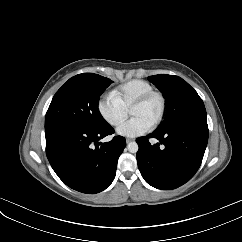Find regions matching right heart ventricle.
I'll list each match as a JSON object with an SVG mask.
<instances>
[{
    "mask_svg": "<svg viewBox=\"0 0 242 242\" xmlns=\"http://www.w3.org/2000/svg\"><path fill=\"white\" fill-rule=\"evenodd\" d=\"M152 90L154 88L149 82L134 79L118 86L112 95L125 109L129 110L135 100Z\"/></svg>",
    "mask_w": 242,
    "mask_h": 242,
    "instance_id": "e07e8e85",
    "label": "right heart ventricle"
}]
</instances>
